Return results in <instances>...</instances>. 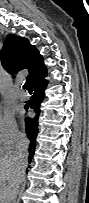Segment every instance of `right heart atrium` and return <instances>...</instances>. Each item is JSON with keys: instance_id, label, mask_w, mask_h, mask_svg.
<instances>
[{"instance_id": "d8ad5b80", "label": "right heart atrium", "mask_w": 89, "mask_h": 203, "mask_svg": "<svg viewBox=\"0 0 89 203\" xmlns=\"http://www.w3.org/2000/svg\"><path fill=\"white\" fill-rule=\"evenodd\" d=\"M15 118L10 112L0 114V145L4 151H11L21 140Z\"/></svg>"}]
</instances>
